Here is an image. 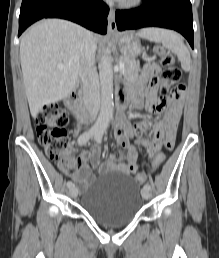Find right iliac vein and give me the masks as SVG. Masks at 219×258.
I'll return each instance as SVG.
<instances>
[{"instance_id": "63e3f726", "label": "right iliac vein", "mask_w": 219, "mask_h": 258, "mask_svg": "<svg viewBox=\"0 0 219 258\" xmlns=\"http://www.w3.org/2000/svg\"><path fill=\"white\" fill-rule=\"evenodd\" d=\"M69 194L71 197L75 198L78 195V189L75 186L69 188Z\"/></svg>"}]
</instances>
